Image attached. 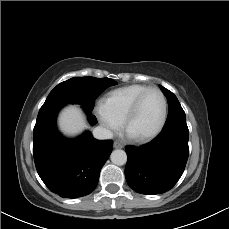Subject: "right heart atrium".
I'll list each match as a JSON object with an SVG mask.
<instances>
[{
	"label": "right heart atrium",
	"mask_w": 229,
	"mask_h": 229,
	"mask_svg": "<svg viewBox=\"0 0 229 229\" xmlns=\"http://www.w3.org/2000/svg\"><path fill=\"white\" fill-rule=\"evenodd\" d=\"M96 112L99 116L100 122L109 133L118 132L120 129V122L115 120L105 109L103 103L96 105Z\"/></svg>",
	"instance_id": "obj_1"
}]
</instances>
